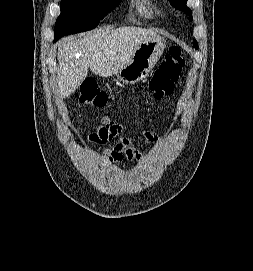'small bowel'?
I'll list each match as a JSON object with an SVG mask.
<instances>
[{
  "label": "small bowel",
  "instance_id": "1",
  "mask_svg": "<svg viewBox=\"0 0 253 271\" xmlns=\"http://www.w3.org/2000/svg\"><path fill=\"white\" fill-rule=\"evenodd\" d=\"M120 136V140L113 144L105 152V159L109 163H120L124 159L130 161H144L145 155L134 145L132 134L125 130L124 126L110 117H104L99 125L89 136V139L96 143L110 142L113 137ZM143 137L152 143H162L163 136L155 131H144Z\"/></svg>",
  "mask_w": 253,
  "mask_h": 271
}]
</instances>
